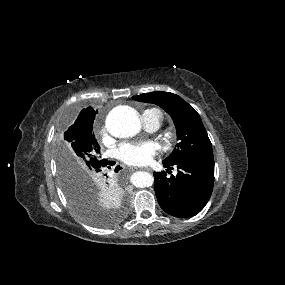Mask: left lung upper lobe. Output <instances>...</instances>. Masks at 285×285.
<instances>
[{
  "label": "left lung upper lobe",
  "mask_w": 285,
  "mask_h": 285,
  "mask_svg": "<svg viewBox=\"0 0 285 285\" xmlns=\"http://www.w3.org/2000/svg\"><path fill=\"white\" fill-rule=\"evenodd\" d=\"M133 99L160 106L174 121L178 143L162 163L174 165L185 161L214 160L212 145L199 114L181 97L156 91L134 96Z\"/></svg>",
  "instance_id": "5c2ea615"
}]
</instances>
